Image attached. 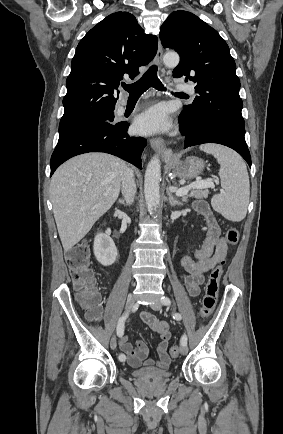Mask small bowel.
I'll return each mask as SVG.
<instances>
[{
    "label": "small bowel",
    "instance_id": "c3829d8e",
    "mask_svg": "<svg viewBox=\"0 0 283 434\" xmlns=\"http://www.w3.org/2000/svg\"><path fill=\"white\" fill-rule=\"evenodd\" d=\"M193 208L204 217L207 224V233L201 247L194 252V258L187 255L181 258V266L183 268L181 282L188 294L195 297L200 294V287L204 282L205 274L217 263L225 259L227 255V243L222 237L221 229L208 204L205 201L198 200L194 203ZM141 318L159 335L157 361L148 357V346L144 342L137 341L133 344L128 340L127 336L120 337V349L127 357L129 365L134 368L145 365L167 369L170 364V357L167 353L171 337L169 324L158 320L152 313L147 311L142 313Z\"/></svg>",
    "mask_w": 283,
    "mask_h": 434
}]
</instances>
